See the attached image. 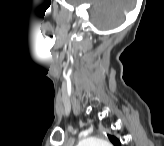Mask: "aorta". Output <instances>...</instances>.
Wrapping results in <instances>:
<instances>
[{"instance_id":"1","label":"aorta","mask_w":164,"mask_h":146,"mask_svg":"<svg viewBox=\"0 0 164 146\" xmlns=\"http://www.w3.org/2000/svg\"><path fill=\"white\" fill-rule=\"evenodd\" d=\"M80 146H109V142L104 139L90 137L82 140Z\"/></svg>"}]
</instances>
